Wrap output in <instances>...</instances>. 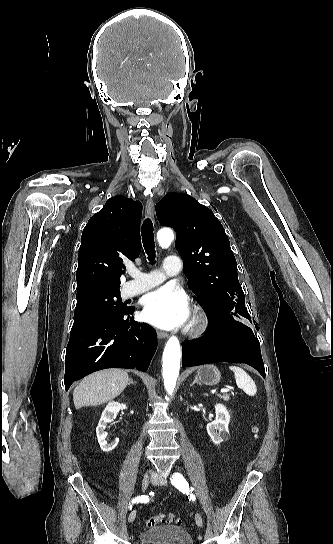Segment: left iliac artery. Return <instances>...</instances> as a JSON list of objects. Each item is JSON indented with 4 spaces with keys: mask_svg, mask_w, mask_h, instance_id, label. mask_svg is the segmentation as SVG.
Wrapping results in <instances>:
<instances>
[{
    "mask_svg": "<svg viewBox=\"0 0 333 544\" xmlns=\"http://www.w3.org/2000/svg\"><path fill=\"white\" fill-rule=\"evenodd\" d=\"M171 483L173 486H175L177 489L182 491L183 493H188L193 490V488H189L188 482L185 480V478L180 473H175L171 479Z\"/></svg>",
    "mask_w": 333,
    "mask_h": 544,
    "instance_id": "1",
    "label": "left iliac artery"
}]
</instances>
